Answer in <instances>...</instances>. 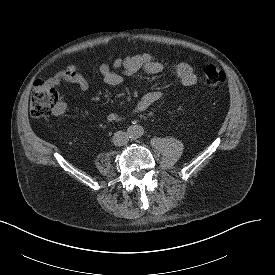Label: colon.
<instances>
[{
    "label": "colon",
    "mask_w": 275,
    "mask_h": 275,
    "mask_svg": "<svg viewBox=\"0 0 275 275\" xmlns=\"http://www.w3.org/2000/svg\"><path fill=\"white\" fill-rule=\"evenodd\" d=\"M226 80L222 70L214 65L204 69L205 85L212 91H219ZM60 105L57 90L46 81H36L32 88L30 112L33 117L44 118L51 115Z\"/></svg>",
    "instance_id": "5ec220e1"
}]
</instances>
